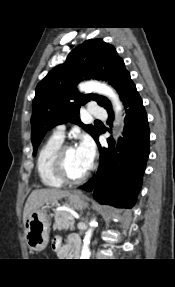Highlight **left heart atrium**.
<instances>
[{
    "label": "left heart atrium",
    "instance_id": "obj_1",
    "mask_svg": "<svg viewBox=\"0 0 175 287\" xmlns=\"http://www.w3.org/2000/svg\"><path fill=\"white\" fill-rule=\"evenodd\" d=\"M76 148L88 167H90L95 156V146L93 141L89 137H83Z\"/></svg>",
    "mask_w": 175,
    "mask_h": 287
}]
</instances>
